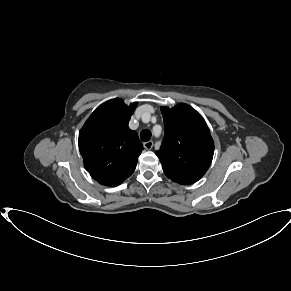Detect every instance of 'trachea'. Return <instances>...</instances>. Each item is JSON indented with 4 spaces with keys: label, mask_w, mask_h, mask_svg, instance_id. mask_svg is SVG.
Instances as JSON below:
<instances>
[{
    "label": "trachea",
    "mask_w": 291,
    "mask_h": 291,
    "mask_svg": "<svg viewBox=\"0 0 291 291\" xmlns=\"http://www.w3.org/2000/svg\"><path fill=\"white\" fill-rule=\"evenodd\" d=\"M151 131L149 130H143L141 133H140V138L143 142H148L150 139H151Z\"/></svg>",
    "instance_id": "3493384b"
}]
</instances>
